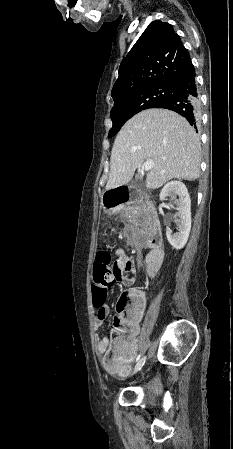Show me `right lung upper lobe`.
<instances>
[{
    "mask_svg": "<svg viewBox=\"0 0 233 449\" xmlns=\"http://www.w3.org/2000/svg\"><path fill=\"white\" fill-rule=\"evenodd\" d=\"M195 73L190 55L171 24L153 21L142 33L119 67L111 96L157 84L173 82Z\"/></svg>",
    "mask_w": 233,
    "mask_h": 449,
    "instance_id": "1",
    "label": "right lung upper lobe"
}]
</instances>
